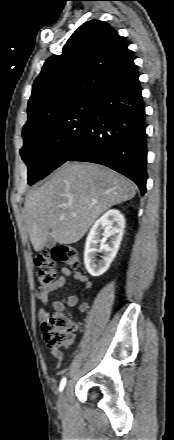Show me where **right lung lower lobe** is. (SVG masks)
Here are the masks:
<instances>
[{
    "label": "right lung lower lobe",
    "instance_id": "1",
    "mask_svg": "<svg viewBox=\"0 0 174 440\" xmlns=\"http://www.w3.org/2000/svg\"><path fill=\"white\" fill-rule=\"evenodd\" d=\"M138 77L132 63L94 90L88 126L66 161L107 166L133 180L143 195L147 180V125Z\"/></svg>",
    "mask_w": 174,
    "mask_h": 440
}]
</instances>
